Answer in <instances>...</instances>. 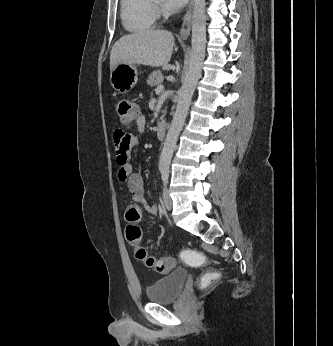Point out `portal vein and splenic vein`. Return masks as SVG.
Here are the masks:
<instances>
[{"mask_svg": "<svg viewBox=\"0 0 333 346\" xmlns=\"http://www.w3.org/2000/svg\"><path fill=\"white\" fill-rule=\"evenodd\" d=\"M163 90H164V86L163 85H159L156 88L155 92H156V94H160Z\"/></svg>", "mask_w": 333, "mask_h": 346, "instance_id": "1", "label": "portal vein and splenic vein"}]
</instances>
